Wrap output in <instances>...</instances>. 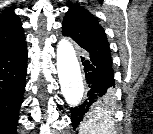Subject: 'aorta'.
<instances>
[{
	"label": "aorta",
	"mask_w": 153,
	"mask_h": 134,
	"mask_svg": "<svg viewBox=\"0 0 153 134\" xmlns=\"http://www.w3.org/2000/svg\"><path fill=\"white\" fill-rule=\"evenodd\" d=\"M57 71L65 101L77 106L84 96V83L76 52L67 39L57 45Z\"/></svg>",
	"instance_id": "1"
}]
</instances>
